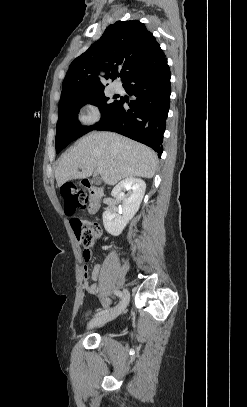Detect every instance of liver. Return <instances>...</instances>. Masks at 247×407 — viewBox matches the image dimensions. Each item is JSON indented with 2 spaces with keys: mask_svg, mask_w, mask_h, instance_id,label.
Listing matches in <instances>:
<instances>
[{
  "mask_svg": "<svg viewBox=\"0 0 247 407\" xmlns=\"http://www.w3.org/2000/svg\"><path fill=\"white\" fill-rule=\"evenodd\" d=\"M156 168L157 155L149 147L115 133L93 132L62 156L55 177L60 187L72 179L88 178L95 169H101L102 179L115 185L124 178L150 179Z\"/></svg>",
  "mask_w": 247,
  "mask_h": 407,
  "instance_id": "1",
  "label": "liver"
}]
</instances>
